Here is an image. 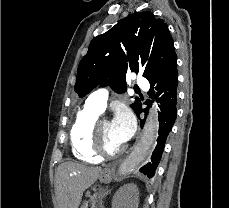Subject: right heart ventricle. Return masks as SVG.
I'll use <instances>...</instances> for the list:
<instances>
[{
	"label": "right heart ventricle",
	"instance_id": "1",
	"mask_svg": "<svg viewBox=\"0 0 229 208\" xmlns=\"http://www.w3.org/2000/svg\"><path fill=\"white\" fill-rule=\"evenodd\" d=\"M99 113L84 106L77 113L76 119L69 132V143L72 156L82 163L98 162L96 153H92V143H96L92 135V127Z\"/></svg>",
	"mask_w": 229,
	"mask_h": 208
}]
</instances>
